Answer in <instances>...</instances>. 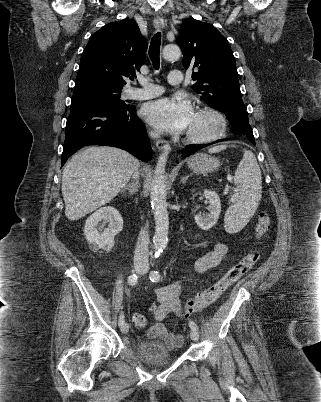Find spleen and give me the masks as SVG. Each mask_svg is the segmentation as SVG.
Here are the masks:
<instances>
[{
  "instance_id": "obj_1",
  "label": "spleen",
  "mask_w": 321,
  "mask_h": 402,
  "mask_svg": "<svg viewBox=\"0 0 321 402\" xmlns=\"http://www.w3.org/2000/svg\"><path fill=\"white\" fill-rule=\"evenodd\" d=\"M227 148V145H218L210 148L209 153H217ZM234 194L230 196L231 205L225 213V230L228 233L240 231L249 222L255 213L262 193V178L260 167L255 155L244 149L234 175Z\"/></svg>"
}]
</instances>
